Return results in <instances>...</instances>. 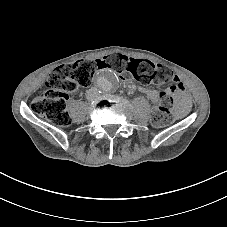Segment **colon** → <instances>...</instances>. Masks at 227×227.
I'll return each mask as SVG.
<instances>
[{"instance_id": "colon-1", "label": "colon", "mask_w": 227, "mask_h": 227, "mask_svg": "<svg viewBox=\"0 0 227 227\" xmlns=\"http://www.w3.org/2000/svg\"><path fill=\"white\" fill-rule=\"evenodd\" d=\"M100 69L130 74L142 86L173 82L172 86L160 92L161 105L153 110L151 116V122L155 127H164L171 122L170 106L183 89L177 75L162 64L128 58L117 53L95 61L80 60L57 67L50 74L44 90L33 99V110L56 125L69 126L71 117L66 106L68 94L74 92L78 86H88L94 72Z\"/></svg>"}]
</instances>
